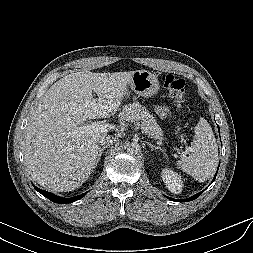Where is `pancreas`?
I'll list each match as a JSON object with an SVG mask.
<instances>
[{"label":"pancreas","mask_w":253,"mask_h":253,"mask_svg":"<svg viewBox=\"0 0 253 253\" xmlns=\"http://www.w3.org/2000/svg\"><path fill=\"white\" fill-rule=\"evenodd\" d=\"M119 117L121 123L140 121L145 132L151 137H160L163 134L154 117L139 102L125 105Z\"/></svg>","instance_id":"pancreas-1"}]
</instances>
